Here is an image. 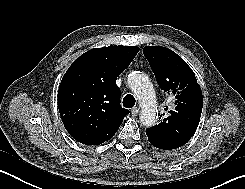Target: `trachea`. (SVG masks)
<instances>
[{"label":"trachea","instance_id":"3493384b","mask_svg":"<svg viewBox=\"0 0 245 189\" xmlns=\"http://www.w3.org/2000/svg\"><path fill=\"white\" fill-rule=\"evenodd\" d=\"M135 98L133 95L131 94H127L124 98H123V106L125 108H133L135 105Z\"/></svg>","mask_w":245,"mask_h":189}]
</instances>
